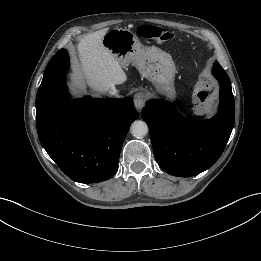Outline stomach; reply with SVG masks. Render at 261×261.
<instances>
[{"instance_id":"obj_1","label":"stomach","mask_w":261,"mask_h":261,"mask_svg":"<svg viewBox=\"0 0 261 261\" xmlns=\"http://www.w3.org/2000/svg\"><path fill=\"white\" fill-rule=\"evenodd\" d=\"M102 43L121 66L133 63L159 94L171 100L176 97V67L169 54L159 48L142 45L136 34L123 28L107 31Z\"/></svg>"}]
</instances>
